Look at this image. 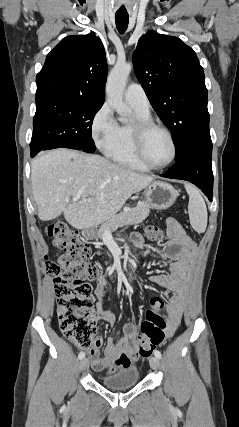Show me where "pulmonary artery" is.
<instances>
[{
    "label": "pulmonary artery",
    "instance_id": "pulmonary-artery-1",
    "mask_svg": "<svg viewBox=\"0 0 239 427\" xmlns=\"http://www.w3.org/2000/svg\"><path fill=\"white\" fill-rule=\"evenodd\" d=\"M125 101L132 107L141 111H149V100L143 88L136 83L127 86L124 91Z\"/></svg>",
    "mask_w": 239,
    "mask_h": 427
}]
</instances>
